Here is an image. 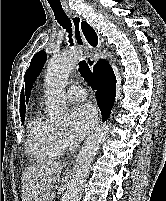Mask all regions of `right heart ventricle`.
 <instances>
[{
    "label": "right heart ventricle",
    "mask_w": 166,
    "mask_h": 201,
    "mask_svg": "<svg viewBox=\"0 0 166 201\" xmlns=\"http://www.w3.org/2000/svg\"><path fill=\"white\" fill-rule=\"evenodd\" d=\"M57 128L40 114L28 123L27 152L37 163L52 161L62 154Z\"/></svg>",
    "instance_id": "obj_1"
}]
</instances>
